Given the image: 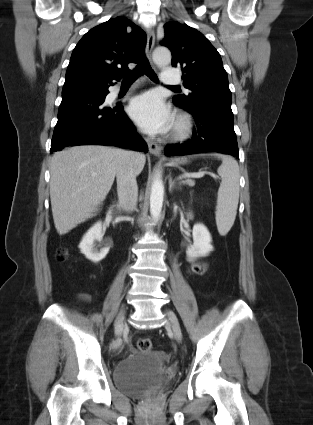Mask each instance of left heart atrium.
I'll return each mask as SVG.
<instances>
[{
    "label": "left heart atrium",
    "mask_w": 313,
    "mask_h": 425,
    "mask_svg": "<svg viewBox=\"0 0 313 425\" xmlns=\"http://www.w3.org/2000/svg\"><path fill=\"white\" fill-rule=\"evenodd\" d=\"M129 114L144 131L149 133L165 132L172 124L169 107L155 92L135 97L129 106Z\"/></svg>",
    "instance_id": "39dd6f15"
}]
</instances>
